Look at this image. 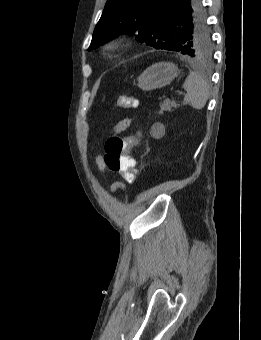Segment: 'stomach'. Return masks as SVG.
Returning <instances> with one entry per match:
<instances>
[{
  "label": "stomach",
  "mask_w": 261,
  "mask_h": 340,
  "mask_svg": "<svg viewBox=\"0 0 261 340\" xmlns=\"http://www.w3.org/2000/svg\"><path fill=\"white\" fill-rule=\"evenodd\" d=\"M179 75L178 67L169 62H160L147 68L138 77V87L150 91L169 85Z\"/></svg>",
  "instance_id": "stomach-1"
}]
</instances>
